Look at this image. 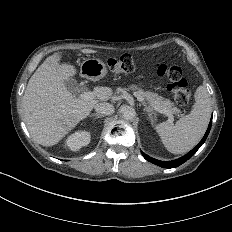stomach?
<instances>
[{
    "mask_svg": "<svg viewBox=\"0 0 232 232\" xmlns=\"http://www.w3.org/2000/svg\"><path fill=\"white\" fill-rule=\"evenodd\" d=\"M107 73V65L98 58L85 59L81 65V74L90 80H100L105 77ZM128 88L133 91L142 90V88L136 84H130Z\"/></svg>",
    "mask_w": 232,
    "mask_h": 232,
    "instance_id": "obj_1",
    "label": "stomach"
}]
</instances>
